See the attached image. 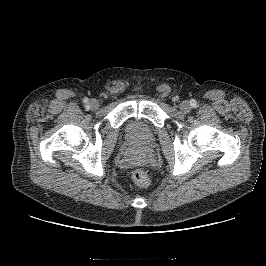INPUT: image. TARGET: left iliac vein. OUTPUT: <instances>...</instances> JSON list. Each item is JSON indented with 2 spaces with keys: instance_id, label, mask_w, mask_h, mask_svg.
Listing matches in <instances>:
<instances>
[{
  "instance_id": "1",
  "label": "left iliac vein",
  "mask_w": 266,
  "mask_h": 266,
  "mask_svg": "<svg viewBox=\"0 0 266 266\" xmlns=\"http://www.w3.org/2000/svg\"><path fill=\"white\" fill-rule=\"evenodd\" d=\"M179 108L184 113H187L191 110V106H190L189 102H187V101L181 102L179 105Z\"/></svg>"
}]
</instances>
